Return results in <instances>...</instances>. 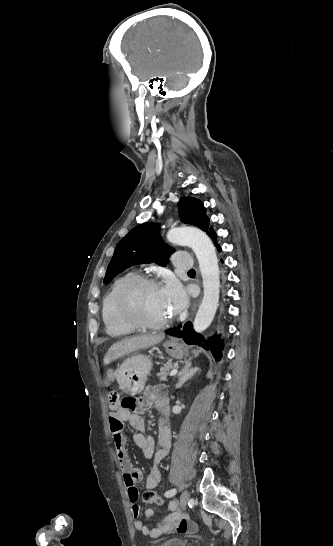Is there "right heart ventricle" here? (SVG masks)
Here are the masks:
<instances>
[{"label": "right heart ventricle", "instance_id": "e07e8e85", "mask_svg": "<svg viewBox=\"0 0 333 546\" xmlns=\"http://www.w3.org/2000/svg\"><path fill=\"white\" fill-rule=\"evenodd\" d=\"M133 272L117 278L110 286L102 301V319L107 334L112 337H122L134 332L135 328L127 323L118 309V297L121 290L132 280L137 278Z\"/></svg>", "mask_w": 333, "mask_h": 546}]
</instances>
